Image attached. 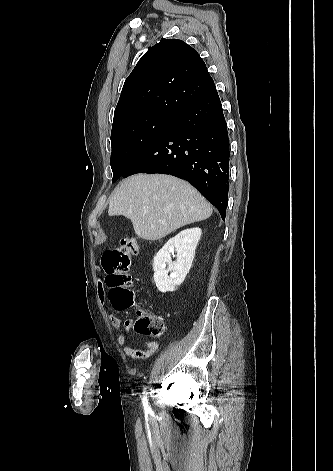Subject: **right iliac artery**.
I'll list each match as a JSON object with an SVG mask.
<instances>
[{"mask_svg":"<svg viewBox=\"0 0 333 471\" xmlns=\"http://www.w3.org/2000/svg\"><path fill=\"white\" fill-rule=\"evenodd\" d=\"M142 403H143L145 412H146V413H149V412L151 411V408H150V406L148 405L147 392H146L145 389H144V391H143V401H142Z\"/></svg>","mask_w":333,"mask_h":471,"instance_id":"1","label":"right iliac artery"}]
</instances>
